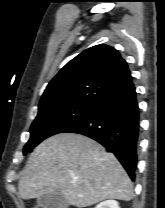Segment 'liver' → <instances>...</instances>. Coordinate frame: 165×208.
Masks as SVG:
<instances>
[{
	"label": "liver",
	"mask_w": 165,
	"mask_h": 208,
	"mask_svg": "<svg viewBox=\"0 0 165 208\" xmlns=\"http://www.w3.org/2000/svg\"><path fill=\"white\" fill-rule=\"evenodd\" d=\"M18 190L26 200L60 192L79 208L133 198L132 182L114 154L76 133H60L40 143L27 161Z\"/></svg>",
	"instance_id": "1"
}]
</instances>
